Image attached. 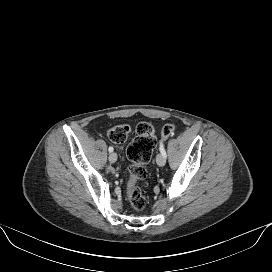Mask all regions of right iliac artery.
I'll list each match as a JSON object with an SVG mask.
<instances>
[{"instance_id":"1","label":"right iliac artery","mask_w":272,"mask_h":272,"mask_svg":"<svg viewBox=\"0 0 272 272\" xmlns=\"http://www.w3.org/2000/svg\"><path fill=\"white\" fill-rule=\"evenodd\" d=\"M108 150H109V152H113V147L110 146V147L108 148Z\"/></svg>"}]
</instances>
